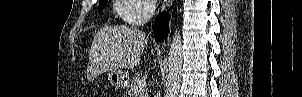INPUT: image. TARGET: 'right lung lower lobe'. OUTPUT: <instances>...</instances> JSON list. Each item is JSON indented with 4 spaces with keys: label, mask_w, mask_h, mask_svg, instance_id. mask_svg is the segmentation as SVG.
I'll list each match as a JSON object with an SVG mask.
<instances>
[{
    "label": "right lung lower lobe",
    "mask_w": 302,
    "mask_h": 97,
    "mask_svg": "<svg viewBox=\"0 0 302 97\" xmlns=\"http://www.w3.org/2000/svg\"><path fill=\"white\" fill-rule=\"evenodd\" d=\"M168 20L169 16L166 12L159 13L155 20L153 31L158 41L167 37V33L169 32V28L167 26Z\"/></svg>",
    "instance_id": "1"
}]
</instances>
